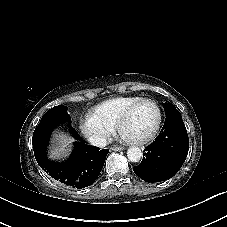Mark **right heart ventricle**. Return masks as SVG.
I'll return each instance as SVG.
<instances>
[{"instance_id": "e07e8e85", "label": "right heart ventricle", "mask_w": 227, "mask_h": 227, "mask_svg": "<svg viewBox=\"0 0 227 227\" xmlns=\"http://www.w3.org/2000/svg\"><path fill=\"white\" fill-rule=\"evenodd\" d=\"M138 102H140V98L119 97L110 99L95 109L91 115L92 123L110 130L126 111Z\"/></svg>"}]
</instances>
